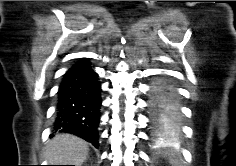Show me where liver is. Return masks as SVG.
<instances>
[{
  "label": "liver",
  "mask_w": 236,
  "mask_h": 166,
  "mask_svg": "<svg viewBox=\"0 0 236 166\" xmlns=\"http://www.w3.org/2000/svg\"><path fill=\"white\" fill-rule=\"evenodd\" d=\"M88 152L87 143L82 139L70 134H58L49 141L45 156L51 165L81 166Z\"/></svg>",
  "instance_id": "obj_1"
}]
</instances>
